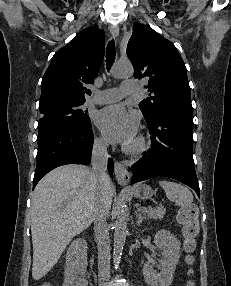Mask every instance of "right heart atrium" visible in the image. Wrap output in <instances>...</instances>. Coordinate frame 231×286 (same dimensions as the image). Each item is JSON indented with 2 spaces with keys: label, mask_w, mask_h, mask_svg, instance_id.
Instances as JSON below:
<instances>
[{
  "label": "right heart atrium",
  "mask_w": 231,
  "mask_h": 286,
  "mask_svg": "<svg viewBox=\"0 0 231 286\" xmlns=\"http://www.w3.org/2000/svg\"><path fill=\"white\" fill-rule=\"evenodd\" d=\"M95 146L99 149H104L106 147V141L103 137H97L95 139Z\"/></svg>",
  "instance_id": "obj_1"
}]
</instances>
